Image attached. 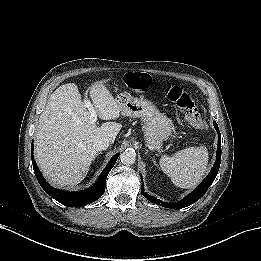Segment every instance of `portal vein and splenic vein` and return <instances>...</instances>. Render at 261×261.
Segmentation results:
<instances>
[{
    "label": "portal vein and splenic vein",
    "instance_id": "obj_1",
    "mask_svg": "<svg viewBox=\"0 0 261 261\" xmlns=\"http://www.w3.org/2000/svg\"><path fill=\"white\" fill-rule=\"evenodd\" d=\"M85 106L88 108L89 113H90V121L92 124H95L97 121V113L94 110L93 106L91 105L89 100L85 101Z\"/></svg>",
    "mask_w": 261,
    "mask_h": 261
}]
</instances>
